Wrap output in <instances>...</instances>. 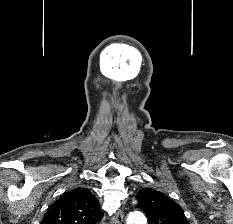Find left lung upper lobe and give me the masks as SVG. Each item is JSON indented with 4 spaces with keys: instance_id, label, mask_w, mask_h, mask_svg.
I'll use <instances>...</instances> for the list:
<instances>
[{
    "instance_id": "1",
    "label": "left lung upper lobe",
    "mask_w": 233,
    "mask_h": 224,
    "mask_svg": "<svg viewBox=\"0 0 233 224\" xmlns=\"http://www.w3.org/2000/svg\"><path fill=\"white\" fill-rule=\"evenodd\" d=\"M136 199L137 207L148 216L150 224H189L180 205L162 192L143 188Z\"/></svg>"
}]
</instances>
